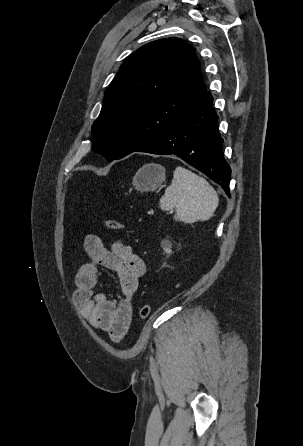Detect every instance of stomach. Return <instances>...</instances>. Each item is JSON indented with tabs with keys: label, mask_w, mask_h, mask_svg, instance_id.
<instances>
[{
	"label": "stomach",
	"mask_w": 303,
	"mask_h": 446,
	"mask_svg": "<svg viewBox=\"0 0 303 446\" xmlns=\"http://www.w3.org/2000/svg\"><path fill=\"white\" fill-rule=\"evenodd\" d=\"M166 179L162 165L150 163L141 167L133 177V186L140 192H151L159 188Z\"/></svg>",
	"instance_id": "0dacf381"
}]
</instances>
